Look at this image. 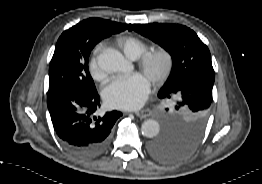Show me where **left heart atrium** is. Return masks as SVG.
<instances>
[{"mask_svg":"<svg viewBox=\"0 0 262 184\" xmlns=\"http://www.w3.org/2000/svg\"><path fill=\"white\" fill-rule=\"evenodd\" d=\"M149 79L145 75H135L114 82L106 91L105 98L109 105L118 108H134L146 98Z\"/></svg>","mask_w":262,"mask_h":184,"instance_id":"1","label":"left heart atrium"}]
</instances>
